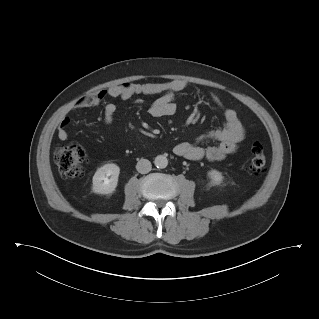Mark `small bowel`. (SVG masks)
<instances>
[{"mask_svg": "<svg viewBox=\"0 0 319 319\" xmlns=\"http://www.w3.org/2000/svg\"><path fill=\"white\" fill-rule=\"evenodd\" d=\"M186 87L187 83L182 79H173L162 83L117 84L80 98L75 102L72 109L82 110L95 107L102 104L108 97L122 100L136 98L137 101H140L142 96L157 94L159 97L150 107L149 113L154 118H169L176 113V95L185 90ZM211 100L218 108L223 109L225 125L223 128L210 131L205 136L200 137L199 140L205 138L214 139L218 141V144L210 147H201L187 141L179 142L173 148L176 155L192 161L201 159L218 161L235 152L243 141L245 128L236 111L231 108H224L216 94L211 95ZM116 111L117 107L114 103L105 104L103 111L105 124H112ZM69 124L70 119L68 117L61 121L57 129V138L59 140L65 141L68 139L67 128Z\"/></svg>", "mask_w": 319, "mask_h": 319, "instance_id": "1", "label": "small bowel"}]
</instances>
